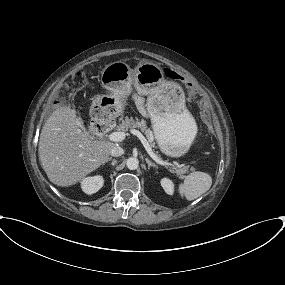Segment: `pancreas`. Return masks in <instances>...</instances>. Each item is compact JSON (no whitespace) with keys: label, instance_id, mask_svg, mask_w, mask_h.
<instances>
[{"label":"pancreas","instance_id":"pancreas-1","mask_svg":"<svg viewBox=\"0 0 285 285\" xmlns=\"http://www.w3.org/2000/svg\"><path fill=\"white\" fill-rule=\"evenodd\" d=\"M120 121L121 123L119 124V126H117L118 130L127 132L129 129L139 128L142 132L145 133L146 137L151 142V147H155V143H152L153 133L150 128H148L147 123L144 120H134L132 117H125V119L121 118ZM170 171L172 173H176L179 178H183L184 174L189 172V166H172Z\"/></svg>","mask_w":285,"mask_h":285}]
</instances>
